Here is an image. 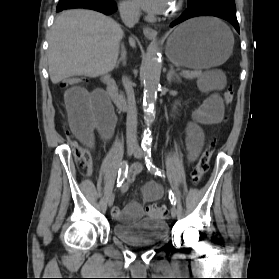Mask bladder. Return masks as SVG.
I'll use <instances>...</instances> for the list:
<instances>
[{
    "label": "bladder",
    "mask_w": 279,
    "mask_h": 279,
    "mask_svg": "<svg viewBox=\"0 0 279 279\" xmlns=\"http://www.w3.org/2000/svg\"><path fill=\"white\" fill-rule=\"evenodd\" d=\"M113 233L126 244L152 246L166 237L168 225L163 220L143 218L134 224L116 222L113 226Z\"/></svg>",
    "instance_id": "obj_1"
}]
</instances>
